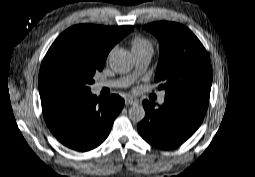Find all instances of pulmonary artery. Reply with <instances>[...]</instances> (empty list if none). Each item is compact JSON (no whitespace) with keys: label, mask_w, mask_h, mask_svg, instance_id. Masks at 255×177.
<instances>
[{"label":"pulmonary artery","mask_w":255,"mask_h":177,"mask_svg":"<svg viewBox=\"0 0 255 177\" xmlns=\"http://www.w3.org/2000/svg\"><path fill=\"white\" fill-rule=\"evenodd\" d=\"M134 57L136 59L137 64L140 67L145 68L150 63V60L152 57V51H145L139 54H134ZM113 85H114V82H111V81L99 82L97 84V88L101 89L103 87H111ZM164 99H165L164 94H161V96L159 97V102L160 103L164 102Z\"/></svg>","instance_id":"e3ab8cb5"}]
</instances>
